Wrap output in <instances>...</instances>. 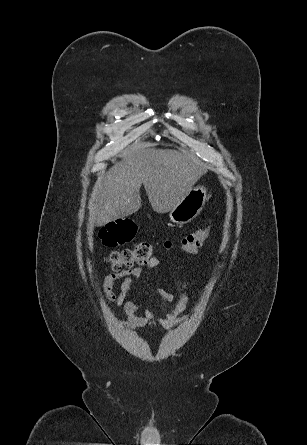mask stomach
Listing matches in <instances>:
<instances>
[{"label": "stomach", "instance_id": "1", "mask_svg": "<svg viewBox=\"0 0 307 445\" xmlns=\"http://www.w3.org/2000/svg\"><path fill=\"white\" fill-rule=\"evenodd\" d=\"M207 198L205 186H193L180 202L169 210V218L176 225L191 223V220L200 214Z\"/></svg>", "mask_w": 307, "mask_h": 445}]
</instances>
